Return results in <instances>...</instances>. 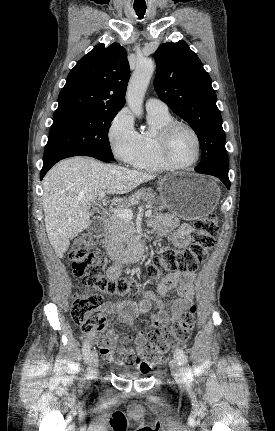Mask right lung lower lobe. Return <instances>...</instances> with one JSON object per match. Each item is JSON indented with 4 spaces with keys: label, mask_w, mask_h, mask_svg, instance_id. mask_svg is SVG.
Listing matches in <instances>:
<instances>
[{
    "label": "right lung lower lobe",
    "mask_w": 275,
    "mask_h": 431,
    "mask_svg": "<svg viewBox=\"0 0 275 431\" xmlns=\"http://www.w3.org/2000/svg\"><path fill=\"white\" fill-rule=\"evenodd\" d=\"M81 155L94 157L105 162L113 161L99 152L85 148H66L54 151H46L43 157V168L40 172V179L42 180L47 171L61 159Z\"/></svg>",
    "instance_id": "98d812e1"
}]
</instances>
